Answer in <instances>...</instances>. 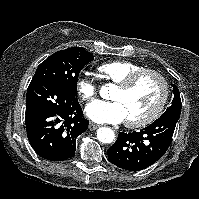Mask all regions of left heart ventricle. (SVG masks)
<instances>
[{
	"label": "left heart ventricle",
	"instance_id": "b2bd125f",
	"mask_svg": "<svg viewBox=\"0 0 199 199\" xmlns=\"http://www.w3.org/2000/svg\"><path fill=\"white\" fill-rule=\"evenodd\" d=\"M161 93L160 81L152 75H146L128 91L116 87L111 98L121 102L126 111V119L135 120L153 110Z\"/></svg>",
	"mask_w": 199,
	"mask_h": 199
}]
</instances>
